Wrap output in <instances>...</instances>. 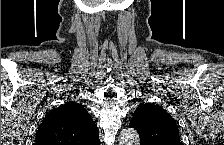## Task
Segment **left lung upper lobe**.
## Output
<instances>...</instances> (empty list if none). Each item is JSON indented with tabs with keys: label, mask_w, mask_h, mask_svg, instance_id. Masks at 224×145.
Returning <instances> with one entry per match:
<instances>
[{
	"label": "left lung upper lobe",
	"mask_w": 224,
	"mask_h": 145,
	"mask_svg": "<svg viewBox=\"0 0 224 145\" xmlns=\"http://www.w3.org/2000/svg\"><path fill=\"white\" fill-rule=\"evenodd\" d=\"M129 126L138 131L140 144L180 145L175 120L162 107L153 103H143L137 107Z\"/></svg>",
	"instance_id": "left-lung-upper-lobe-1"
}]
</instances>
